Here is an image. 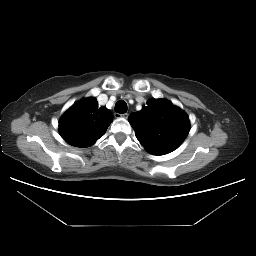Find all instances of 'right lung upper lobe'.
<instances>
[{"instance_id": "right-lung-upper-lobe-1", "label": "right lung upper lobe", "mask_w": 256, "mask_h": 256, "mask_svg": "<svg viewBox=\"0 0 256 256\" xmlns=\"http://www.w3.org/2000/svg\"><path fill=\"white\" fill-rule=\"evenodd\" d=\"M112 122V114L98 108L95 98H87L72 105L59 122L61 136L76 147H89L104 135Z\"/></svg>"}]
</instances>
